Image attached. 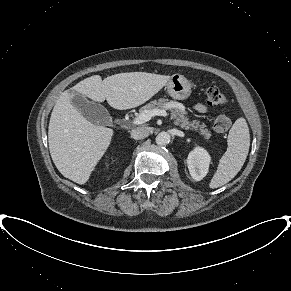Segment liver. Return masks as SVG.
<instances>
[{
	"label": "liver",
	"instance_id": "6515ba94",
	"mask_svg": "<svg viewBox=\"0 0 291 291\" xmlns=\"http://www.w3.org/2000/svg\"><path fill=\"white\" fill-rule=\"evenodd\" d=\"M171 76L146 72L119 73L102 80L88 77L70 90L93 101L106 100L114 109L126 110L144 104L158 93ZM70 90L58 98L48 128L52 160L66 178L85 184L111 143L114 130L88 121L73 105Z\"/></svg>",
	"mask_w": 291,
	"mask_h": 291
}]
</instances>
